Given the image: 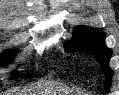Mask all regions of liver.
Masks as SVG:
<instances>
[{
    "label": "liver",
    "instance_id": "liver-1",
    "mask_svg": "<svg viewBox=\"0 0 119 95\" xmlns=\"http://www.w3.org/2000/svg\"><path fill=\"white\" fill-rule=\"evenodd\" d=\"M49 86L54 87V89H55L58 93H61L60 95H68L67 89L62 88L61 86L52 85V84H49ZM4 95H14V94H13V93H6V94H4ZM16 95H18V94H16Z\"/></svg>",
    "mask_w": 119,
    "mask_h": 95
}]
</instances>
